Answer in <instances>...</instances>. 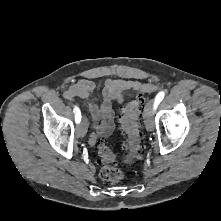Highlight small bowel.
Returning <instances> with one entry per match:
<instances>
[{"mask_svg": "<svg viewBox=\"0 0 221 221\" xmlns=\"http://www.w3.org/2000/svg\"><path fill=\"white\" fill-rule=\"evenodd\" d=\"M96 84L90 79H81L70 85L63 93L64 98L80 97L86 99V105L91 115L94 133L89 137L91 146H95L101 138L108 137L114 130V113L112 101H124V93L129 90L149 92L154 89L152 85L142 84L132 79H107L103 86V102L97 105L92 95Z\"/></svg>", "mask_w": 221, "mask_h": 221, "instance_id": "1", "label": "small bowel"}]
</instances>
